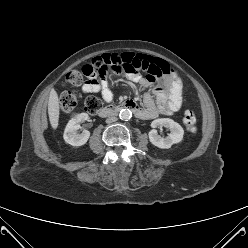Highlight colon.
<instances>
[{"mask_svg":"<svg viewBox=\"0 0 248 248\" xmlns=\"http://www.w3.org/2000/svg\"><path fill=\"white\" fill-rule=\"evenodd\" d=\"M119 62L112 55L99 56L90 64L83 66L82 71L72 70L66 73L63 86H76L82 83L83 76H104L108 71H118ZM77 104L76 94L64 91L60 96V110L63 113L71 112ZM102 108L101 101L96 97H89L85 101V110L90 114L98 113ZM183 123L190 134L197 132V118L192 110H186L183 115Z\"/></svg>","mask_w":248,"mask_h":248,"instance_id":"colon-1","label":"colon"}]
</instances>
